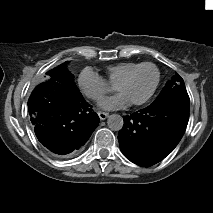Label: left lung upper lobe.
<instances>
[{
    "instance_id": "left-lung-upper-lobe-1",
    "label": "left lung upper lobe",
    "mask_w": 213,
    "mask_h": 213,
    "mask_svg": "<svg viewBox=\"0 0 213 213\" xmlns=\"http://www.w3.org/2000/svg\"><path fill=\"white\" fill-rule=\"evenodd\" d=\"M167 97H178L190 102L184 81L177 73L166 83L153 103L159 102Z\"/></svg>"
}]
</instances>
